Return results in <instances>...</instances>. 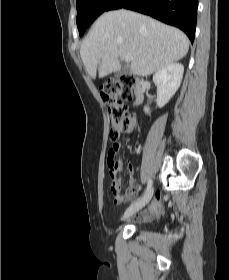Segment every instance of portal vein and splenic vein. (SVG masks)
I'll use <instances>...</instances> for the list:
<instances>
[{"mask_svg": "<svg viewBox=\"0 0 229 280\" xmlns=\"http://www.w3.org/2000/svg\"><path fill=\"white\" fill-rule=\"evenodd\" d=\"M121 59H123L125 62L129 63L132 60L131 56H125V57H121Z\"/></svg>", "mask_w": 229, "mask_h": 280, "instance_id": "18ae733b", "label": "portal vein and splenic vein"}]
</instances>
